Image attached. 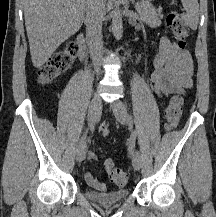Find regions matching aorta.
Segmentation results:
<instances>
[{
	"label": "aorta",
	"instance_id": "obj_1",
	"mask_svg": "<svg viewBox=\"0 0 216 217\" xmlns=\"http://www.w3.org/2000/svg\"><path fill=\"white\" fill-rule=\"evenodd\" d=\"M111 18H112L113 35L117 40H120L123 35V23H122V17H121V14L118 8H115L111 12Z\"/></svg>",
	"mask_w": 216,
	"mask_h": 217
}]
</instances>
